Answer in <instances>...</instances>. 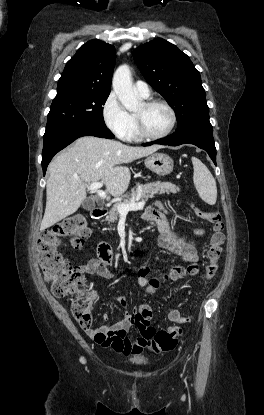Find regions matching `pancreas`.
<instances>
[{
	"mask_svg": "<svg viewBox=\"0 0 264 415\" xmlns=\"http://www.w3.org/2000/svg\"><path fill=\"white\" fill-rule=\"evenodd\" d=\"M179 187L170 183V182H152L147 183L144 185L137 186L136 188L131 190V193L126 195V198L123 201L117 202L111 210L109 211L108 215L106 216V221L109 223H114L119 218V212L117 210L118 205L120 204H128L134 202L138 197L142 200L153 198L157 194H164V193H177L179 192Z\"/></svg>",
	"mask_w": 264,
	"mask_h": 415,
	"instance_id": "1",
	"label": "pancreas"
}]
</instances>
